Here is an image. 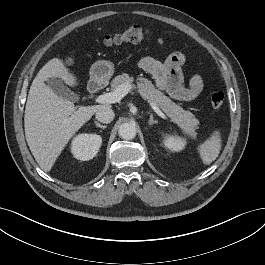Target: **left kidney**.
I'll return each mask as SVG.
<instances>
[{
  "label": "left kidney",
  "mask_w": 265,
  "mask_h": 265,
  "mask_svg": "<svg viewBox=\"0 0 265 265\" xmlns=\"http://www.w3.org/2000/svg\"><path fill=\"white\" fill-rule=\"evenodd\" d=\"M163 144L167 149L178 152L185 148L186 139L177 135H167L164 137Z\"/></svg>",
  "instance_id": "1"
}]
</instances>
